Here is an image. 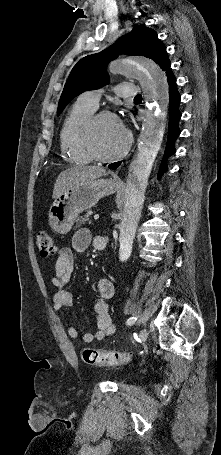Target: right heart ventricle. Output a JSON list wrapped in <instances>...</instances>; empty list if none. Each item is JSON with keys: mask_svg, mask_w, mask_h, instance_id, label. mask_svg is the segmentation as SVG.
<instances>
[{"mask_svg": "<svg viewBox=\"0 0 221 455\" xmlns=\"http://www.w3.org/2000/svg\"><path fill=\"white\" fill-rule=\"evenodd\" d=\"M94 112V108L78 98L63 121L60 130V150L62 157L71 164H86L91 160L81 144V129Z\"/></svg>", "mask_w": 221, "mask_h": 455, "instance_id": "1", "label": "right heart ventricle"}]
</instances>
